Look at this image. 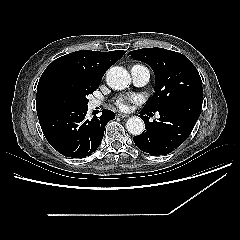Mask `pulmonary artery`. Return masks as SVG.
<instances>
[{
    "mask_svg": "<svg viewBox=\"0 0 240 240\" xmlns=\"http://www.w3.org/2000/svg\"><path fill=\"white\" fill-rule=\"evenodd\" d=\"M131 77L132 81L136 86H144L146 85L151 77L150 70L140 64L134 65L131 70ZM100 102L99 101H94L93 106H99Z\"/></svg>",
    "mask_w": 240,
    "mask_h": 240,
    "instance_id": "1",
    "label": "pulmonary artery"
}]
</instances>
